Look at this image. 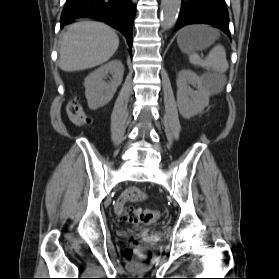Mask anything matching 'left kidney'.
Segmentation results:
<instances>
[{"label": "left kidney", "instance_id": "1", "mask_svg": "<svg viewBox=\"0 0 279 279\" xmlns=\"http://www.w3.org/2000/svg\"><path fill=\"white\" fill-rule=\"evenodd\" d=\"M177 106L180 114L189 119L209 105L210 88L204 77L198 76L191 70L183 69L179 72L177 80ZM189 84L197 88L194 91Z\"/></svg>", "mask_w": 279, "mask_h": 279}]
</instances>
